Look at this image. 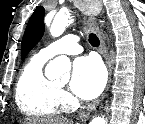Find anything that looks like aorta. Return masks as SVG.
Masks as SVG:
<instances>
[{
  "label": "aorta",
  "instance_id": "1",
  "mask_svg": "<svg viewBox=\"0 0 145 124\" xmlns=\"http://www.w3.org/2000/svg\"><path fill=\"white\" fill-rule=\"evenodd\" d=\"M70 19L69 14L67 13H58L51 24L50 33L53 37L61 36L66 26L68 25V21ZM70 69L71 63L68 57L59 56L50 61L45 68V76L48 79H56L61 77L62 80L67 81L70 78ZM90 124H106V121L102 117H96L92 120Z\"/></svg>",
  "mask_w": 145,
  "mask_h": 124
}]
</instances>
